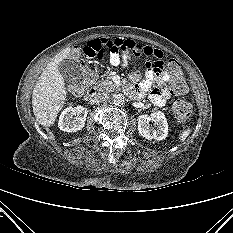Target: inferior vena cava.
<instances>
[{
	"label": "inferior vena cava",
	"instance_id": "1",
	"mask_svg": "<svg viewBox=\"0 0 233 233\" xmlns=\"http://www.w3.org/2000/svg\"><path fill=\"white\" fill-rule=\"evenodd\" d=\"M109 95L107 93H98L96 96H95V100L97 102H105V101H108L109 100Z\"/></svg>",
	"mask_w": 233,
	"mask_h": 233
}]
</instances>
